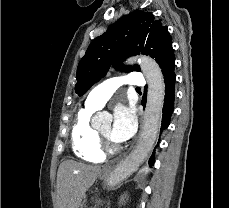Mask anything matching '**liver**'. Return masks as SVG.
I'll return each mask as SVG.
<instances>
[{
  "label": "liver",
  "mask_w": 229,
  "mask_h": 208,
  "mask_svg": "<svg viewBox=\"0 0 229 208\" xmlns=\"http://www.w3.org/2000/svg\"><path fill=\"white\" fill-rule=\"evenodd\" d=\"M101 172L100 166H86L74 160L62 162L57 172L59 208H80L85 192Z\"/></svg>",
  "instance_id": "6515ba94"
}]
</instances>
